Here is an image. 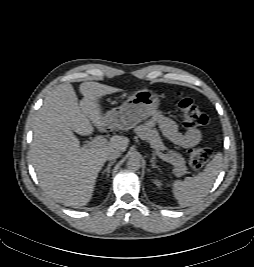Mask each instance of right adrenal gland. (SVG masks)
<instances>
[{
    "mask_svg": "<svg viewBox=\"0 0 254 267\" xmlns=\"http://www.w3.org/2000/svg\"><path fill=\"white\" fill-rule=\"evenodd\" d=\"M115 162H116L115 160L111 161V162L107 165V168L104 169V170L102 171V174L107 173V177H109V176H110V169H111V166H112Z\"/></svg>",
    "mask_w": 254,
    "mask_h": 267,
    "instance_id": "2a0ac1e0",
    "label": "right adrenal gland"
}]
</instances>
